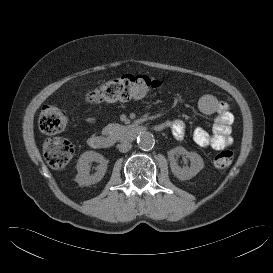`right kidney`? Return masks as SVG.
<instances>
[{
  "label": "right kidney",
  "instance_id": "1",
  "mask_svg": "<svg viewBox=\"0 0 273 273\" xmlns=\"http://www.w3.org/2000/svg\"><path fill=\"white\" fill-rule=\"evenodd\" d=\"M97 162V172L90 175V163ZM77 175L75 181L81 186H90L99 182L105 175L107 169L106 159L99 153L95 151H86L78 159L77 165Z\"/></svg>",
  "mask_w": 273,
  "mask_h": 273
}]
</instances>
